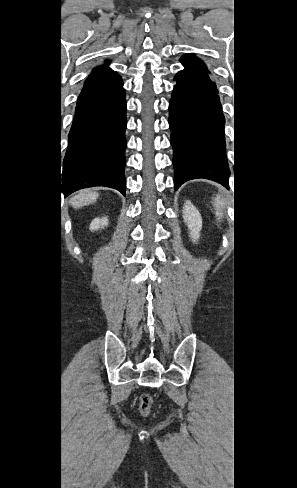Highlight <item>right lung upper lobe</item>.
<instances>
[{
  "label": "right lung upper lobe",
  "instance_id": "1",
  "mask_svg": "<svg viewBox=\"0 0 297 488\" xmlns=\"http://www.w3.org/2000/svg\"><path fill=\"white\" fill-rule=\"evenodd\" d=\"M108 65L109 61H106L105 65L97 67L93 70V73L85 81L84 87L78 99L96 92L107 82L118 76L117 72L111 70Z\"/></svg>",
  "mask_w": 297,
  "mask_h": 488
}]
</instances>
